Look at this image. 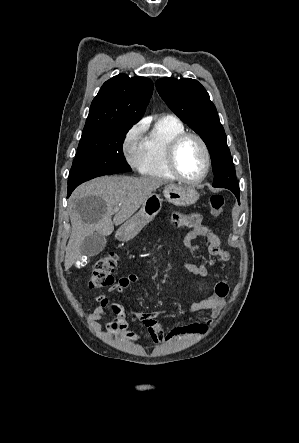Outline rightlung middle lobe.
<instances>
[{
    "instance_id": "1",
    "label": "right lung middle lobe",
    "mask_w": 299,
    "mask_h": 443,
    "mask_svg": "<svg viewBox=\"0 0 299 443\" xmlns=\"http://www.w3.org/2000/svg\"><path fill=\"white\" fill-rule=\"evenodd\" d=\"M132 125H114L82 133L68 179V187L103 175L132 169L123 154V140Z\"/></svg>"
}]
</instances>
